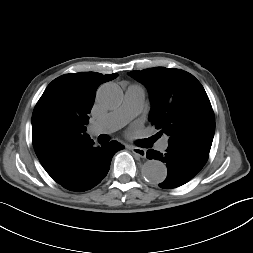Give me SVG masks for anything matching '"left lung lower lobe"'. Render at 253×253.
I'll return each mask as SVG.
<instances>
[{
    "label": "left lung lower lobe",
    "instance_id": "left-lung-lower-lobe-1",
    "mask_svg": "<svg viewBox=\"0 0 253 253\" xmlns=\"http://www.w3.org/2000/svg\"><path fill=\"white\" fill-rule=\"evenodd\" d=\"M148 159L166 163L168 174L161 188H176L191 180L205 165L208 154L186 146L169 144L166 153L149 149Z\"/></svg>",
    "mask_w": 253,
    "mask_h": 253
}]
</instances>
